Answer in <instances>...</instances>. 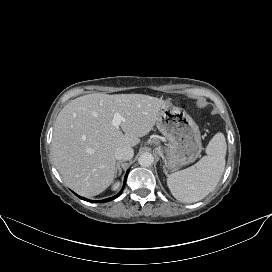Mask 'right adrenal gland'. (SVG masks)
I'll return each instance as SVG.
<instances>
[{
    "label": "right adrenal gland",
    "mask_w": 272,
    "mask_h": 272,
    "mask_svg": "<svg viewBox=\"0 0 272 272\" xmlns=\"http://www.w3.org/2000/svg\"><path fill=\"white\" fill-rule=\"evenodd\" d=\"M123 163V161H118L117 163H116V175H117V172H118V176L121 174V167H120V165Z\"/></svg>",
    "instance_id": "obj_1"
}]
</instances>
